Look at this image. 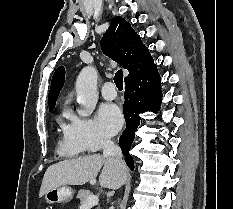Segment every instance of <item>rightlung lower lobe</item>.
I'll return each mask as SVG.
<instances>
[{
    "mask_svg": "<svg viewBox=\"0 0 233 209\" xmlns=\"http://www.w3.org/2000/svg\"><path fill=\"white\" fill-rule=\"evenodd\" d=\"M124 117L126 129L119 138V145L128 167L134 169V161L129 150L140 124L139 114L146 111L157 113L162 101L161 80L156 65L147 73L125 86Z\"/></svg>",
    "mask_w": 233,
    "mask_h": 209,
    "instance_id": "obj_1",
    "label": "right lung lower lobe"
}]
</instances>
